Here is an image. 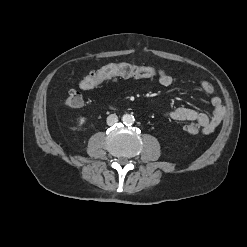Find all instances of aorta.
Instances as JSON below:
<instances>
[{
	"mask_svg": "<svg viewBox=\"0 0 247 247\" xmlns=\"http://www.w3.org/2000/svg\"><path fill=\"white\" fill-rule=\"evenodd\" d=\"M135 119H134V116L133 115H130V114H125L123 115L122 117V122L127 125V126H130L134 123Z\"/></svg>",
	"mask_w": 247,
	"mask_h": 247,
	"instance_id": "obj_1",
	"label": "aorta"
}]
</instances>
